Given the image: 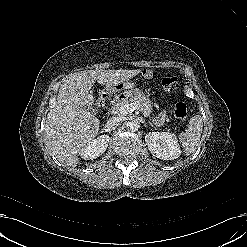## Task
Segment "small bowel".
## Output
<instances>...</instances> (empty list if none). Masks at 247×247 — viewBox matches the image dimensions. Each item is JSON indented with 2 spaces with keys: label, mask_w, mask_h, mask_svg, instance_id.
<instances>
[{
  "label": "small bowel",
  "mask_w": 247,
  "mask_h": 247,
  "mask_svg": "<svg viewBox=\"0 0 247 247\" xmlns=\"http://www.w3.org/2000/svg\"><path fill=\"white\" fill-rule=\"evenodd\" d=\"M153 76H154V72H153V70H151V69L145 70V71L143 72V77H144L146 80H151V79L153 78ZM163 118H164V114L161 113V114L159 115V120L162 121Z\"/></svg>",
  "instance_id": "1"
}]
</instances>
